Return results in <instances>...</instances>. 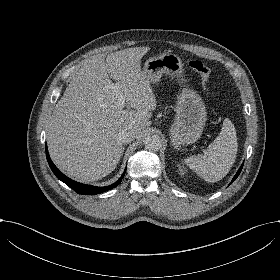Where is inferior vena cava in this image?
Segmentation results:
<instances>
[{
	"label": "inferior vena cava",
	"instance_id": "1",
	"mask_svg": "<svg viewBox=\"0 0 280 280\" xmlns=\"http://www.w3.org/2000/svg\"><path fill=\"white\" fill-rule=\"evenodd\" d=\"M135 133L131 131L121 130L118 132L116 139L123 144H129L135 138Z\"/></svg>",
	"mask_w": 280,
	"mask_h": 280
}]
</instances>
